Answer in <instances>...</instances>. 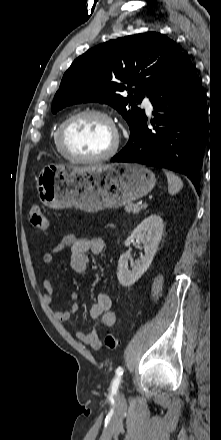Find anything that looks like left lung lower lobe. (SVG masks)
<instances>
[{
  "instance_id": "obj_1",
  "label": "left lung lower lobe",
  "mask_w": 221,
  "mask_h": 440,
  "mask_svg": "<svg viewBox=\"0 0 221 440\" xmlns=\"http://www.w3.org/2000/svg\"><path fill=\"white\" fill-rule=\"evenodd\" d=\"M154 129L144 117L112 162L164 167L186 175L200 193V169L209 131L208 108L201 80L182 54L150 96Z\"/></svg>"
}]
</instances>
